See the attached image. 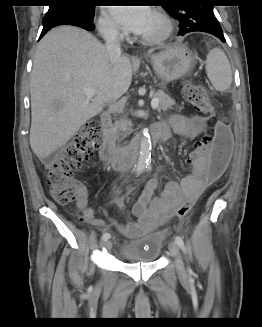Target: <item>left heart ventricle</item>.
Wrapping results in <instances>:
<instances>
[{
	"label": "left heart ventricle",
	"mask_w": 262,
	"mask_h": 327,
	"mask_svg": "<svg viewBox=\"0 0 262 327\" xmlns=\"http://www.w3.org/2000/svg\"><path fill=\"white\" fill-rule=\"evenodd\" d=\"M159 31H160V24L152 14L151 19L149 20L144 31L141 32V35L155 34L158 33Z\"/></svg>",
	"instance_id": "1"
}]
</instances>
